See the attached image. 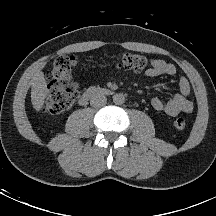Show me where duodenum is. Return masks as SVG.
Returning a JSON list of instances; mask_svg holds the SVG:
<instances>
[{"label":"duodenum","instance_id":"410a0bca","mask_svg":"<svg viewBox=\"0 0 216 216\" xmlns=\"http://www.w3.org/2000/svg\"><path fill=\"white\" fill-rule=\"evenodd\" d=\"M112 93L111 90L106 88H96L91 87L87 89L81 96L79 103L80 105H85L92 97L98 95H110Z\"/></svg>","mask_w":216,"mask_h":216}]
</instances>
